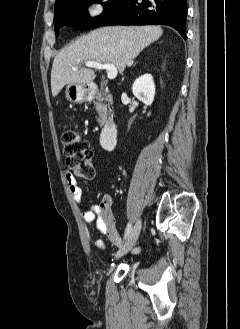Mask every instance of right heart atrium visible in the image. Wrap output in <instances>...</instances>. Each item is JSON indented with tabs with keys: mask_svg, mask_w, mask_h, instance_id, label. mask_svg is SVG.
<instances>
[{
	"mask_svg": "<svg viewBox=\"0 0 240 329\" xmlns=\"http://www.w3.org/2000/svg\"><path fill=\"white\" fill-rule=\"evenodd\" d=\"M105 12V3L103 0H95L87 9V15L91 19L100 18Z\"/></svg>",
	"mask_w": 240,
	"mask_h": 329,
	"instance_id": "right-heart-atrium-1",
	"label": "right heart atrium"
}]
</instances>
